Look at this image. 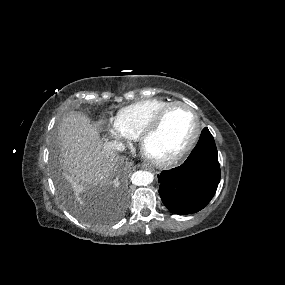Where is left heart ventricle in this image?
<instances>
[{
	"label": "left heart ventricle",
	"instance_id": "obj_1",
	"mask_svg": "<svg viewBox=\"0 0 285 285\" xmlns=\"http://www.w3.org/2000/svg\"><path fill=\"white\" fill-rule=\"evenodd\" d=\"M195 119L185 108L176 107L161 126L144 143V152L157 159H167L178 153L191 139Z\"/></svg>",
	"mask_w": 285,
	"mask_h": 285
}]
</instances>
